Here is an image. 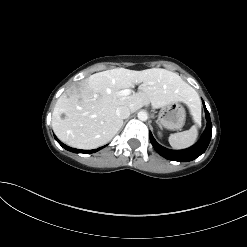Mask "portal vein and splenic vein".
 <instances>
[{
	"label": "portal vein and splenic vein",
	"mask_w": 247,
	"mask_h": 247,
	"mask_svg": "<svg viewBox=\"0 0 247 247\" xmlns=\"http://www.w3.org/2000/svg\"><path fill=\"white\" fill-rule=\"evenodd\" d=\"M131 89H124V90H121L118 92V95L119 96H128L131 94Z\"/></svg>",
	"instance_id": "18ae733b"
}]
</instances>
